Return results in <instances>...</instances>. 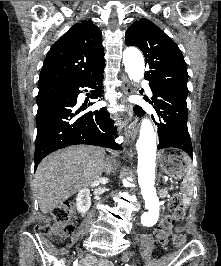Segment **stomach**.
Segmentation results:
<instances>
[{
  "instance_id": "1",
  "label": "stomach",
  "mask_w": 221,
  "mask_h": 266,
  "mask_svg": "<svg viewBox=\"0 0 221 266\" xmlns=\"http://www.w3.org/2000/svg\"><path fill=\"white\" fill-rule=\"evenodd\" d=\"M187 155L177 153L175 149L162 150L158 154L161 169L174 179H181L188 173Z\"/></svg>"
}]
</instances>
